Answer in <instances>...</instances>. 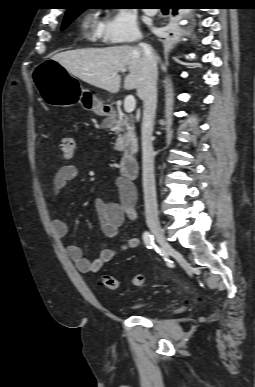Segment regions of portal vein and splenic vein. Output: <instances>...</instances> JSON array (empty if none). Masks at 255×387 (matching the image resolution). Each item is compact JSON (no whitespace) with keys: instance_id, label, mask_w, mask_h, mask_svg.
<instances>
[{"instance_id":"1","label":"portal vein and splenic vein","mask_w":255,"mask_h":387,"mask_svg":"<svg viewBox=\"0 0 255 387\" xmlns=\"http://www.w3.org/2000/svg\"><path fill=\"white\" fill-rule=\"evenodd\" d=\"M136 107V100L134 96L128 95L124 100V110L126 113H132Z\"/></svg>"}]
</instances>
